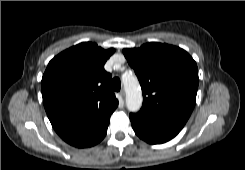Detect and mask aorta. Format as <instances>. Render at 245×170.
<instances>
[{"instance_id":"obj_1","label":"aorta","mask_w":245,"mask_h":170,"mask_svg":"<svg viewBox=\"0 0 245 170\" xmlns=\"http://www.w3.org/2000/svg\"><path fill=\"white\" fill-rule=\"evenodd\" d=\"M126 92V106L130 112H137L142 106V92L135 77L131 76L124 79Z\"/></svg>"}]
</instances>
